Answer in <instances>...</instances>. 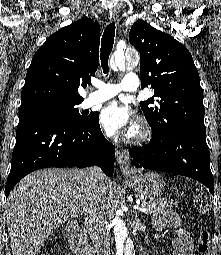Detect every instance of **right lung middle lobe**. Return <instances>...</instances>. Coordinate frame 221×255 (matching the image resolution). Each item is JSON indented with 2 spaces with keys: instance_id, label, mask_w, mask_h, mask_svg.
<instances>
[{
  "instance_id": "obj_1",
  "label": "right lung middle lobe",
  "mask_w": 221,
  "mask_h": 255,
  "mask_svg": "<svg viewBox=\"0 0 221 255\" xmlns=\"http://www.w3.org/2000/svg\"><path fill=\"white\" fill-rule=\"evenodd\" d=\"M76 103H44L19 110L20 115L41 114L55 116L68 124L79 125L87 122L91 115L85 116L77 109Z\"/></svg>"
}]
</instances>
